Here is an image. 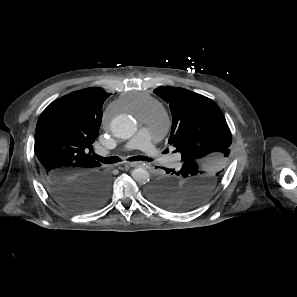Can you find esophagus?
Listing matches in <instances>:
<instances>
[{"label": "esophagus", "instance_id": "1", "mask_svg": "<svg viewBox=\"0 0 297 297\" xmlns=\"http://www.w3.org/2000/svg\"><path fill=\"white\" fill-rule=\"evenodd\" d=\"M127 165L130 166V167H141V166H143V163H141V162H130Z\"/></svg>", "mask_w": 297, "mask_h": 297}]
</instances>
